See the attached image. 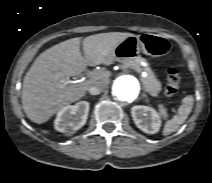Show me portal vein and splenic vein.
Returning a JSON list of instances; mask_svg holds the SVG:
<instances>
[{
  "label": "portal vein and splenic vein",
  "mask_w": 212,
  "mask_h": 183,
  "mask_svg": "<svg viewBox=\"0 0 212 183\" xmlns=\"http://www.w3.org/2000/svg\"><path fill=\"white\" fill-rule=\"evenodd\" d=\"M97 74V71H92L90 73H88L89 76H92V75H95ZM83 80H77V81H74V82H82Z\"/></svg>",
  "instance_id": "portal-vein-and-splenic-vein-1"
}]
</instances>
